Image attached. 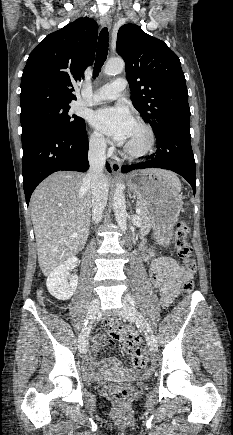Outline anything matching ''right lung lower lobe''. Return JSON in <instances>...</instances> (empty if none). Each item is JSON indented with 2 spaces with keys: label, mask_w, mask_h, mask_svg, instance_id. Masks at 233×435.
<instances>
[{
  "label": "right lung lower lobe",
  "mask_w": 233,
  "mask_h": 435,
  "mask_svg": "<svg viewBox=\"0 0 233 435\" xmlns=\"http://www.w3.org/2000/svg\"><path fill=\"white\" fill-rule=\"evenodd\" d=\"M23 187L27 205L37 185L60 170L86 172L88 137L86 127L76 135L58 130H43L22 138ZM107 170L111 172L106 163Z\"/></svg>",
  "instance_id": "right-lung-lower-lobe-1"
}]
</instances>
